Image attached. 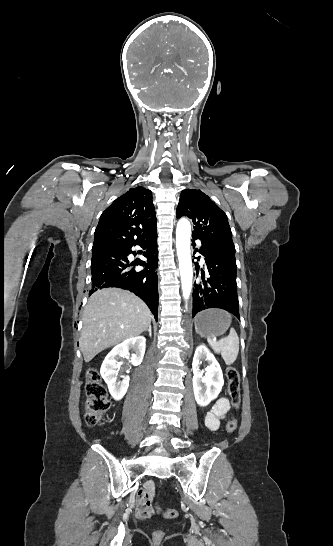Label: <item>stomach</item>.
Returning <instances> with one entry per match:
<instances>
[{
    "label": "stomach",
    "mask_w": 333,
    "mask_h": 546,
    "mask_svg": "<svg viewBox=\"0 0 333 546\" xmlns=\"http://www.w3.org/2000/svg\"><path fill=\"white\" fill-rule=\"evenodd\" d=\"M231 325V318L218 309H208L195 318L196 333L204 338H215L223 335Z\"/></svg>",
    "instance_id": "0dacf381"
}]
</instances>
